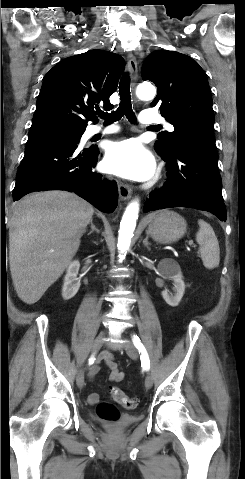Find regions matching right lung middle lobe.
Masks as SVG:
<instances>
[{
	"mask_svg": "<svg viewBox=\"0 0 245 479\" xmlns=\"http://www.w3.org/2000/svg\"><path fill=\"white\" fill-rule=\"evenodd\" d=\"M83 133L84 129H70L65 127H52L39 130H31L29 131V138L27 141L26 149L55 138L80 139Z\"/></svg>",
	"mask_w": 245,
	"mask_h": 479,
	"instance_id": "obj_1",
	"label": "right lung middle lobe"
}]
</instances>
